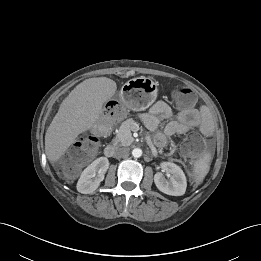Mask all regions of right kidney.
<instances>
[{
  "instance_id": "1",
  "label": "right kidney",
  "mask_w": 261,
  "mask_h": 261,
  "mask_svg": "<svg viewBox=\"0 0 261 261\" xmlns=\"http://www.w3.org/2000/svg\"><path fill=\"white\" fill-rule=\"evenodd\" d=\"M109 168V161L106 157H99L94 160L84 171L77 182V190L82 194L94 192L104 179V174Z\"/></svg>"
}]
</instances>
